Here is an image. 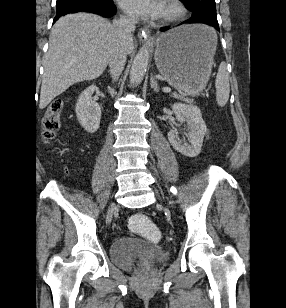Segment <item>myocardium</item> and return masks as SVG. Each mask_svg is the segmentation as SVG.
Wrapping results in <instances>:
<instances>
[{
    "mask_svg": "<svg viewBox=\"0 0 286 308\" xmlns=\"http://www.w3.org/2000/svg\"><path fill=\"white\" fill-rule=\"evenodd\" d=\"M163 7L165 12L161 15L162 22L171 23L184 16L186 10L179 0H165Z\"/></svg>",
    "mask_w": 286,
    "mask_h": 308,
    "instance_id": "1",
    "label": "myocardium"
}]
</instances>
